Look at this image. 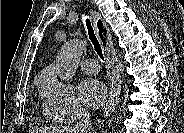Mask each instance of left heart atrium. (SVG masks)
Instances as JSON below:
<instances>
[{"label":"left heart atrium","instance_id":"39dd6f15","mask_svg":"<svg viewBox=\"0 0 184 133\" xmlns=\"http://www.w3.org/2000/svg\"><path fill=\"white\" fill-rule=\"evenodd\" d=\"M80 101L91 108L100 107L107 98L106 88L103 83L96 79H86L78 87Z\"/></svg>","mask_w":184,"mask_h":133}]
</instances>
